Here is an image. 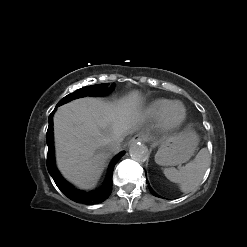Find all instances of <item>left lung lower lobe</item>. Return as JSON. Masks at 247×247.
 <instances>
[{"instance_id":"obj_1","label":"left lung lower lobe","mask_w":247,"mask_h":247,"mask_svg":"<svg viewBox=\"0 0 247 247\" xmlns=\"http://www.w3.org/2000/svg\"><path fill=\"white\" fill-rule=\"evenodd\" d=\"M146 182L148 183V181L146 180ZM149 189H150V192L154 195V196H157V197H161L159 195H157L154 190L149 186ZM162 198V197H161Z\"/></svg>"}]
</instances>
